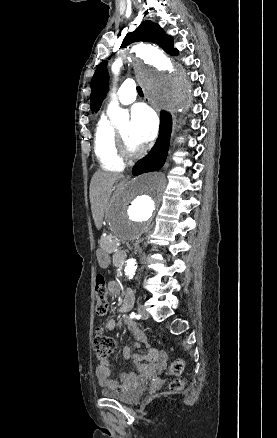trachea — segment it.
<instances>
[{"label": "trachea", "mask_w": 277, "mask_h": 438, "mask_svg": "<svg viewBox=\"0 0 277 438\" xmlns=\"http://www.w3.org/2000/svg\"><path fill=\"white\" fill-rule=\"evenodd\" d=\"M137 92L140 96H143V92H142L141 87H137Z\"/></svg>", "instance_id": "trachea-1"}]
</instances>
